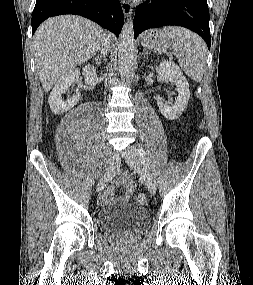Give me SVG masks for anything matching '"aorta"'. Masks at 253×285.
<instances>
[{
	"mask_svg": "<svg viewBox=\"0 0 253 285\" xmlns=\"http://www.w3.org/2000/svg\"><path fill=\"white\" fill-rule=\"evenodd\" d=\"M134 53L135 44L133 20L130 19L124 23L119 38L118 67L121 76H126L129 73Z\"/></svg>",
	"mask_w": 253,
	"mask_h": 285,
	"instance_id": "762f6f07",
	"label": "aorta"
}]
</instances>
